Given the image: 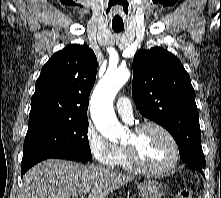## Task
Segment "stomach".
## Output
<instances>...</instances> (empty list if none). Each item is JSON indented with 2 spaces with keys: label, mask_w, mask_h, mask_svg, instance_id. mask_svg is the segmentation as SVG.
<instances>
[{
  "label": "stomach",
  "mask_w": 221,
  "mask_h": 198,
  "mask_svg": "<svg viewBox=\"0 0 221 198\" xmlns=\"http://www.w3.org/2000/svg\"><path fill=\"white\" fill-rule=\"evenodd\" d=\"M140 198H161L163 195L162 185L154 180H146L138 184Z\"/></svg>",
  "instance_id": "stomach-1"
}]
</instances>
